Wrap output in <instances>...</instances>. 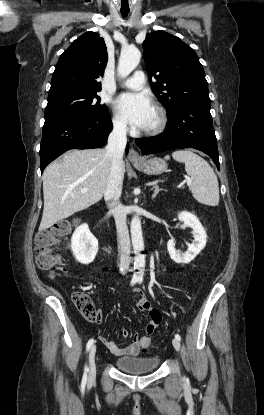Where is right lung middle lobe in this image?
<instances>
[{
    "mask_svg": "<svg viewBox=\"0 0 264 415\" xmlns=\"http://www.w3.org/2000/svg\"><path fill=\"white\" fill-rule=\"evenodd\" d=\"M98 92L67 91L48 96L45 120L66 116H95L108 114L105 104H100Z\"/></svg>",
    "mask_w": 264,
    "mask_h": 415,
    "instance_id": "1",
    "label": "right lung middle lobe"
}]
</instances>
